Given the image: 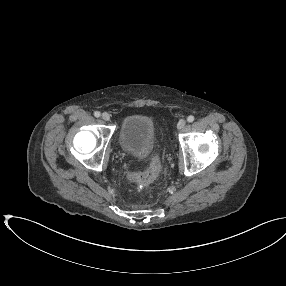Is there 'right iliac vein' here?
<instances>
[{"instance_id": "obj_1", "label": "right iliac vein", "mask_w": 286, "mask_h": 286, "mask_svg": "<svg viewBox=\"0 0 286 286\" xmlns=\"http://www.w3.org/2000/svg\"><path fill=\"white\" fill-rule=\"evenodd\" d=\"M102 119L104 121H109L110 120V115L107 113V112H104L102 115H101Z\"/></svg>"}]
</instances>
